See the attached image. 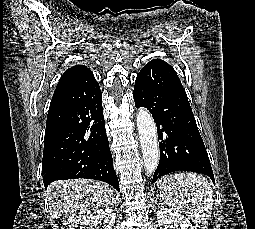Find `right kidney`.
Masks as SVG:
<instances>
[{
  "mask_svg": "<svg viewBox=\"0 0 255 229\" xmlns=\"http://www.w3.org/2000/svg\"><path fill=\"white\" fill-rule=\"evenodd\" d=\"M115 219L111 208L98 209L82 220L80 229H99V225L101 229H112Z\"/></svg>",
  "mask_w": 255,
  "mask_h": 229,
  "instance_id": "ca27d5eb",
  "label": "right kidney"
}]
</instances>
